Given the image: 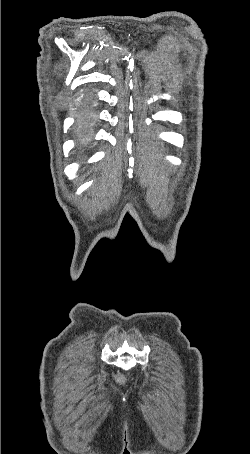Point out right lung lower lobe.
I'll list each match as a JSON object with an SVG mask.
<instances>
[{
  "label": "right lung lower lobe",
  "mask_w": 250,
  "mask_h": 454,
  "mask_svg": "<svg viewBox=\"0 0 250 454\" xmlns=\"http://www.w3.org/2000/svg\"><path fill=\"white\" fill-rule=\"evenodd\" d=\"M96 122L94 98L90 92H86L79 108L76 125L83 139L89 140L96 126Z\"/></svg>",
  "instance_id": "1"
}]
</instances>
